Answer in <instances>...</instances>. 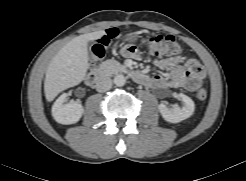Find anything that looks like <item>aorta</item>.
<instances>
[{
  "mask_svg": "<svg viewBox=\"0 0 246 181\" xmlns=\"http://www.w3.org/2000/svg\"><path fill=\"white\" fill-rule=\"evenodd\" d=\"M126 83V78L122 74H118L114 77V84L118 87L124 86Z\"/></svg>",
  "mask_w": 246,
  "mask_h": 181,
  "instance_id": "762f6f07",
  "label": "aorta"
}]
</instances>
